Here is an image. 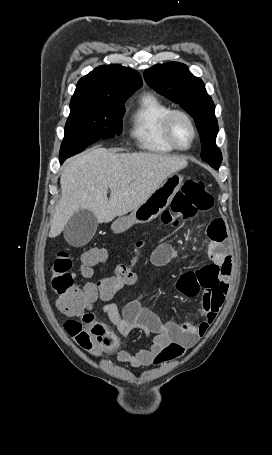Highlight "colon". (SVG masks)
<instances>
[{
    "mask_svg": "<svg viewBox=\"0 0 272 455\" xmlns=\"http://www.w3.org/2000/svg\"><path fill=\"white\" fill-rule=\"evenodd\" d=\"M212 204L213 199L205 182L199 179L188 180L174 197L171 208L162 213L161 226L175 227L182 220H188L198 212L209 210ZM147 243V240L138 241L133 257L128 262L118 264L113 275L104 277L97 284H75L72 273L73 258L70 253L61 251L55 256L49 270L51 288L57 297L56 306L62 313L72 317L64 323V329L84 350L101 355L116 347V336L102 324L95 322L88 310L97 299L109 301L123 287L137 281L136 267L140 253ZM105 259L106 252L102 249L94 248L84 252L83 274L89 276L91 267Z\"/></svg>",
    "mask_w": 272,
    "mask_h": 455,
    "instance_id": "colon-1",
    "label": "colon"
}]
</instances>
